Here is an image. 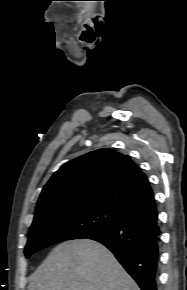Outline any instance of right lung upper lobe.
<instances>
[{
	"label": "right lung upper lobe",
	"mask_w": 187,
	"mask_h": 290,
	"mask_svg": "<svg viewBox=\"0 0 187 290\" xmlns=\"http://www.w3.org/2000/svg\"><path fill=\"white\" fill-rule=\"evenodd\" d=\"M100 205L125 218L157 210L149 181L129 156L99 149L65 163L43 188L34 220L63 210Z\"/></svg>",
	"instance_id": "1"
}]
</instances>
